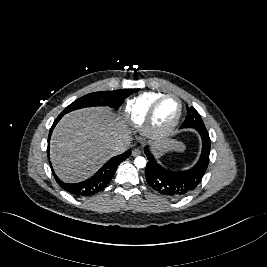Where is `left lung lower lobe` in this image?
Listing matches in <instances>:
<instances>
[{
    "label": "left lung lower lobe",
    "mask_w": 267,
    "mask_h": 267,
    "mask_svg": "<svg viewBox=\"0 0 267 267\" xmlns=\"http://www.w3.org/2000/svg\"><path fill=\"white\" fill-rule=\"evenodd\" d=\"M202 138V152L198 162L184 171H171L159 165L149 147L144 152L148 158L146 181L163 196L180 198L192 192L201 182L209 164L210 137L206 128H196Z\"/></svg>",
    "instance_id": "1"
}]
</instances>
